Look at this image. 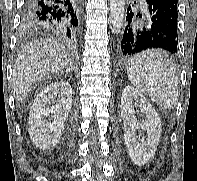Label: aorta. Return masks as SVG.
<instances>
[{"mask_svg":"<svg viewBox=\"0 0 197 181\" xmlns=\"http://www.w3.org/2000/svg\"><path fill=\"white\" fill-rule=\"evenodd\" d=\"M113 32L120 34L125 15V0H109Z\"/></svg>","mask_w":197,"mask_h":181,"instance_id":"obj_1","label":"aorta"}]
</instances>
